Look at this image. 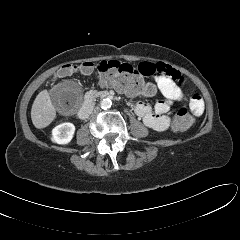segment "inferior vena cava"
<instances>
[{
	"label": "inferior vena cava",
	"mask_w": 240,
	"mask_h": 240,
	"mask_svg": "<svg viewBox=\"0 0 240 240\" xmlns=\"http://www.w3.org/2000/svg\"><path fill=\"white\" fill-rule=\"evenodd\" d=\"M83 110L87 111L88 114H91V113H97L99 111V108L96 107V108H93L92 106H87V107H84Z\"/></svg>",
	"instance_id": "obj_1"
}]
</instances>
